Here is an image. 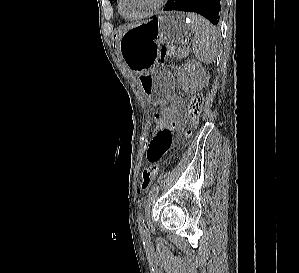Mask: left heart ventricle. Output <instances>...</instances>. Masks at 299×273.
I'll list each match as a JSON object with an SVG mask.
<instances>
[{
    "mask_svg": "<svg viewBox=\"0 0 299 273\" xmlns=\"http://www.w3.org/2000/svg\"><path fill=\"white\" fill-rule=\"evenodd\" d=\"M158 0H123V12L127 16H138L149 11Z\"/></svg>",
    "mask_w": 299,
    "mask_h": 273,
    "instance_id": "1",
    "label": "left heart ventricle"
}]
</instances>
